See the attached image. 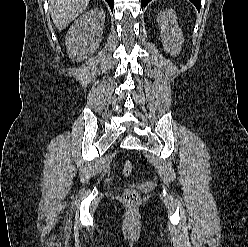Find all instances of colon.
Masks as SVG:
<instances>
[{
	"label": "colon",
	"mask_w": 248,
	"mask_h": 247,
	"mask_svg": "<svg viewBox=\"0 0 248 247\" xmlns=\"http://www.w3.org/2000/svg\"><path fill=\"white\" fill-rule=\"evenodd\" d=\"M134 171V167L131 162L127 161L122 166V174L130 176ZM123 201L129 206H134L139 203L140 195L135 189H126L123 192Z\"/></svg>",
	"instance_id": "1"
}]
</instances>
